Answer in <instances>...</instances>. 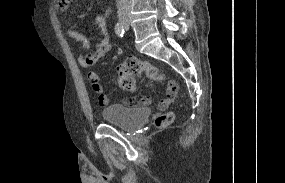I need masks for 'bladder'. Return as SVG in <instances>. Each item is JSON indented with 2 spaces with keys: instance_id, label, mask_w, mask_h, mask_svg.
Masks as SVG:
<instances>
[{
  "instance_id": "1",
  "label": "bladder",
  "mask_w": 285,
  "mask_h": 183,
  "mask_svg": "<svg viewBox=\"0 0 285 183\" xmlns=\"http://www.w3.org/2000/svg\"><path fill=\"white\" fill-rule=\"evenodd\" d=\"M150 115L147 106H128L122 103L111 104L103 109L105 121L125 128H135L142 124Z\"/></svg>"
}]
</instances>
